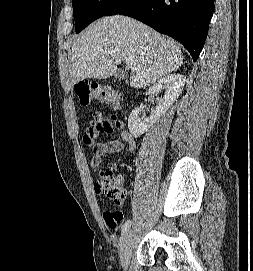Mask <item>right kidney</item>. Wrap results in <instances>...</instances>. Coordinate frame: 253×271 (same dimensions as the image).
I'll list each match as a JSON object with an SVG mask.
<instances>
[{
  "label": "right kidney",
  "instance_id": "obj_1",
  "mask_svg": "<svg viewBox=\"0 0 253 271\" xmlns=\"http://www.w3.org/2000/svg\"><path fill=\"white\" fill-rule=\"evenodd\" d=\"M186 78L180 74H170L160 79L146 93V95L160 94L165 89V95L158 100L155 112L149 118H140L141 107H136L128 119V128L135 137L143 135L164 115L182 93Z\"/></svg>",
  "mask_w": 253,
  "mask_h": 271
}]
</instances>
